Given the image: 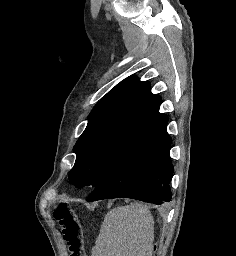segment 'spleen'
<instances>
[{
	"mask_svg": "<svg viewBox=\"0 0 236 256\" xmlns=\"http://www.w3.org/2000/svg\"><path fill=\"white\" fill-rule=\"evenodd\" d=\"M154 220L147 206L113 208L104 218L91 256H152Z\"/></svg>",
	"mask_w": 236,
	"mask_h": 256,
	"instance_id": "obj_1",
	"label": "spleen"
}]
</instances>
